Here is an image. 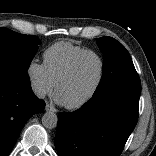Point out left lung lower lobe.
Wrapping results in <instances>:
<instances>
[{
    "label": "left lung lower lobe",
    "instance_id": "1",
    "mask_svg": "<svg viewBox=\"0 0 156 156\" xmlns=\"http://www.w3.org/2000/svg\"><path fill=\"white\" fill-rule=\"evenodd\" d=\"M140 93L111 90L79 110L58 115L55 147L59 156H120L133 131Z\"/></svg>",
    "mask_w": 156,
    "mask_h": 156
}]
</instances>
